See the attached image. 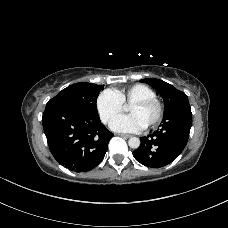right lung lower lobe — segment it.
Returning a JSON list of instances; mask_svg holds the SVG:
<instances>
[{"mask_svg": "<svg viewBox=\"0 0 228 228\" xmlns=\"http://www.w3.org/2000/svg\"><path fill=\"white\" fill-rule=\"evenodd\" d=\"M42 123L56 161L75 172L98 166L113 136L98 115L65 103H47Z\"/></svg>", "mask_w": 228, "mask_h": 228, "instance_id": "right-lung-lower-lobe-1", "label": "right lung lower lobe"}]
</instances>
